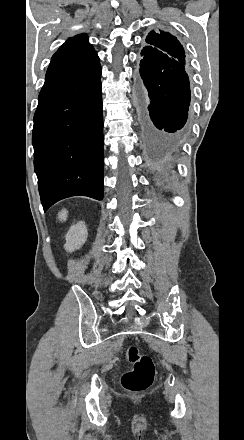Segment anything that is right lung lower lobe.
I'll use <instances>...</instances> for the list:
<instances>
[{
  "mask_svg": "<svg viewBox=\"0 0 244 440\" xmlns=\"http://www.w3.org/2000/svg\"><path fill=\"white\" fill-rule=\"evenodd\" d=\"M101 66L46 74L34 115L32 144L41 202L76 195L103 198Z\"/></svg>",
  "mask_w": 244,
  "mask_h": 440,
  "instance_id": "obj_1",
  "label": "right lung lower lobe"
}]
</instances>
